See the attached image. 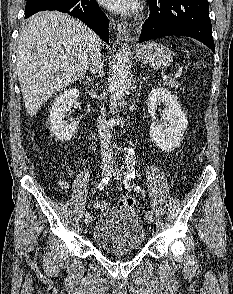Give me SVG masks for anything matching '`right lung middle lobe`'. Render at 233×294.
<instances>
[{"mask_svg":"<svg viewBox=\"0 0 233 294\" xmlns=\"http://www.w3.org/2000/svg\"><path fill=\"white\" fill-rule=\"evenodd\" d=\"M49 1H54V0H28L26 3L25 7V13L28 12L29 10Z\"/></svg>","mask_w":233,"mask_h":294,"instance_id":"right-lung-middle-lobe-1","label":"right lung middle lobe"}]
</instances>
